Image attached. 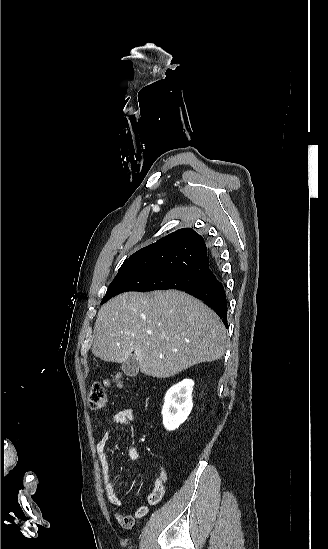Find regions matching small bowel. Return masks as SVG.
I'll return each mask as SVG.
<instances>
[{
    "mask_svg": "<svg viewBox=\"0 0 328 549\" xmlns=\"http://www.w3.org/2000/svg\"><path fill=\"white\" fill-rule=\"evenodd\" d=\"M135 419V413L132 408H125L112 414L110 423L112 426L121 425L129 429L130 436L132 437V425ZM111 434V428L108 429L102 438L96 445V452L100 462L102 479L105 487V491L109 502L113 506H121L122 502L118 495V487L113 483L110 474V464L107 454V443ZM129 457L138 461L142 458V455L133 447L130 446L128 450ZM152 467L157 472V478L154 482L153 489L147 496V501L150 505H155L161 501L165 492V483L168 479L167 472L159 465L152 464ZM146 512V507H141L137 511V515H143Z\"/></svg>",
    "mask_w": 328,
    "mask_h": 549,
    "instance_id": "c3829d8e",
    "label": "small bowel"
}]
</instances>
